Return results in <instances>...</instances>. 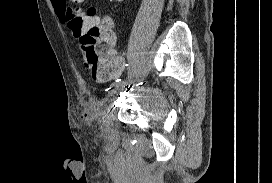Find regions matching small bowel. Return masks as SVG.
<instances>
[{"label": "small bowel", "mask_w": 272, "mask_h": 183, "mask_svg": "<svg viewBox=\"0 0 272 183\" xmlns=\"http://www.w3.org/2000/svg\"><path fill=\"white\" fill-rule=\"evenodd\" d=\"M52 4L54 6L56 14L62 19V21L65 22L66 5H65L64 0H52ZM122 70H123V59L121 57H119L118 64H117L115 70L109 76H107L106 78H103V79L95 77V76H93V77H94V79H96L98 81H109V80H112V79L118 77L121 74Z\"/></svg>", "instance_id": "c3829d8e"}]
</instances>
